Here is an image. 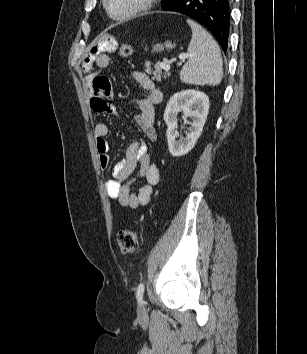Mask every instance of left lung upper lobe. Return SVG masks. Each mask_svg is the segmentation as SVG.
Returning <instances> with one entry per match:
<instances>
[{"instance_id":"1","label":"left lung upper lobe","mask_w":307,"mask_h":354,"mask_svg":"<svg viewBox=\"0 0 307 354\" xmlns=\"http://www.w3.org/2000/svg\"><path fill=\"white\" fill-rule=\"evenodd\" d=\"M171 0H161V7H165Z\"/></svg>"}]
</instances>
